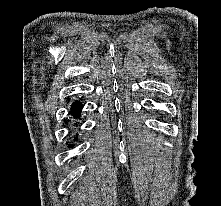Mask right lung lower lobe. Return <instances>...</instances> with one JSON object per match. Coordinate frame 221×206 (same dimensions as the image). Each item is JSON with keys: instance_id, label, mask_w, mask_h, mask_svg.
Returning <instances> with one entry per match:
<instances>
[{"instance_id": "98d812e1", "label": "right lung lower lobe", "mask_w": 221, "mask_h": 206, "mask_svg": "<svg viewBox=\"0 0 221 206\" xmlns=\"http://www.w3.org/2000/svg\"><path fill=\"white\" fill-rule=\"evenodd\" d=\"M83 105L79 101H75L71 106V112L74 117H79L82 111Z\"/></svg>"}]
</instances>
